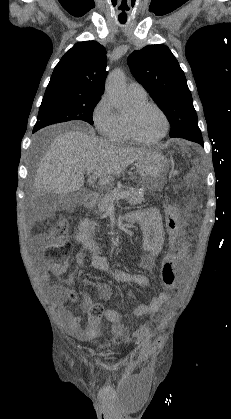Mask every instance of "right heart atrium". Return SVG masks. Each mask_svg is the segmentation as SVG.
Instances as JSON below:
<instances>
[{"mask_svg":"<svg viewBox=\"0 0 231 419\" xmlns=\"http://www.w3.org/2000/svg\"><path fill=\"white\" fill-rule=\"evenodd\" d=\"M92 117L94 124L105 139L116 141L121 134V125L118 114L114 111L112 104L106 94L97 101Z\"/></svg>","mask_w":231,"mask_h":419,"instance_id":"right-heart-atrium-1","label":"right heart atrium"}]
</instances>
